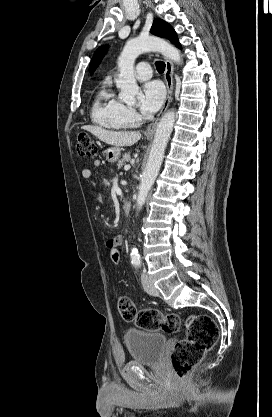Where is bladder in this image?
Instances as JSON below:
<instances>
[{
    "mask_svg": "<svg viewBox=\"0 0 272 417\" xmlns=\"http://www.w3.org/2000/svg\"><path fill=\"white\" fill-rule=\"evenodd\" d=\"M124 343L135 363L154 365L163 357L167 337L157 332L128 329Z\"/></svg>",
    "mask_w": 272,
    "mask_h": 417,
    "instance_id": "obj_1",
    "label": "bladder"
}]
</instances>
